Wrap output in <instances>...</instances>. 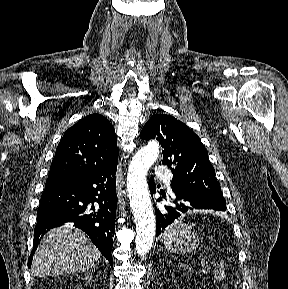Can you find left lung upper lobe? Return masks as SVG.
Wrapping results in <instances>:
<instances>
[{"mask_svg":"<svg viewBox=\"0 0 288 289\" xmlns=\"http://www.w3.org/2000/svg\"><path fill=\"white\" fill-rule=\"evenodd\" d=\"M140 137L156 138L164 148L162 164L173 173V191L195 193L226 205L207 150L184 123L170 115L155 114L143 127Z\"/></svg>","mask_w":288,"mask_h":289,"instance_id":"obj_1","label":"left lung upper lobe"}]
</instances>
